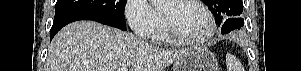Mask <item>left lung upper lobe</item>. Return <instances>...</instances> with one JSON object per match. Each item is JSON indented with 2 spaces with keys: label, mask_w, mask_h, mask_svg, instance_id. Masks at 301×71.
<instances>
[{
  "label": "left lung upper lobe",
  "mask_w": 301,
  "mask_h": 71,
  "mask_svg": "<svg viewBox=\"0 0 301 71\" xmlns=\"http://www.w3.org/2000/svg\"><path fill=\"white\" fill-rule=\"evenodd\" d=\"M221 24L226 18L240 17L243 11L242 0H205Z\"/></svg>",
  "instance_id": "5c2ea615"
}]
</instances>
